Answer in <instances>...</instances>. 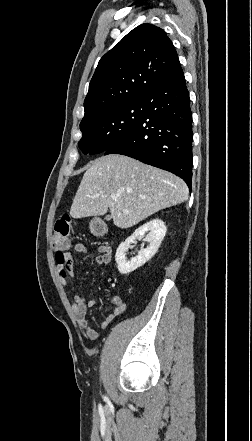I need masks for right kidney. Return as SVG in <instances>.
Returning a JSON list of instances; mask_svg holds the SVG:
<instances>
[{
    "label": "right kidney",
    "mask_w": 252,
    "mask_h": 441,
    "mask_svg": "<svg viewBox=\"0 0 252 441\" xmlns=\"http://www.w3.org/2000/svg\"><path fill=\"white\" fill-rule=\"evenodd\" d=\"M166 230L165 223L158 218L145 223L135 230V232L122 242L116 250L115 260L119 272L121 274H129L150 260L156 254L165 237ZM146 233L148 234L145 236ZM136 238H144V241H147L149 246L147 248H142L136 257L127 261L125 256L126 251Z\"/></svg>",
    "instance_id": "right-kidney-1"
}]
</instances>
